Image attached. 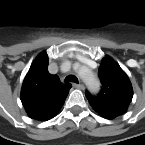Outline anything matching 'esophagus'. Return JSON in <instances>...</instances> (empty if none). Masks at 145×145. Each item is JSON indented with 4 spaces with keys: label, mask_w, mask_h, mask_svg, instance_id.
Wrapping results in <instances>:
<instances>
[{
    "label": "esophagus",
    "mask_w": 145,
    "mask_h": 145,
    "mask_svg": "<svg viewBox=\"0 0 145 145\" xmlns=\"http://www.w3.org/2000/svg\"><path fill=\"white\" fill-rule=\"evenodd\" d=\"M73 86H74L75 88H78V89H81V90H83V89H84V85H83V84H81V83H79V84L74 83V84H73Z\"/></svg>",
    "instance_id": "34e87169"
}]
</instances>
